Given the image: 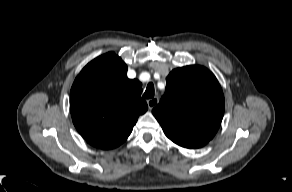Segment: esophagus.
<instances>
[{
    "label": "esophagus",
    "instance_id": "obj_1",
    "mask_svg": "<svg viewBox=\"0 0 292 192\" xmlns=\"http://www.w3.org/2000/svg\"><path fill=\"white\" fill-rule=\"evenodd\" d=\"M159 100L157 97L151 98L147 100V105L149 107V109H153L157 104H158Z\"/></svg>",
    "mask_w": 292,
    "mask_h": 192
}]
</instances>
